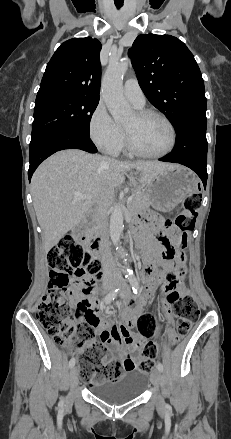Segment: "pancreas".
Returning a JSON list of instances; mask_svg holds the SVG:
<instances>
[{"label": "pancreas", "instance_id": "pancreas-1", "mask_svg": "<svg viewBox=\"0 0 231 439\" xmlns=\"http://www.w3.org/2000/svg\"><path fill=\"white\" fill-rule=\"evenodd\" d=\"M150 204L149 197L146 192L141 190L135 191L133 199L130 202L129 209L132 214L138 213L142 208Z\"/></svg>", "mask_w": 231, "mask_h": 439}]
</instances>
